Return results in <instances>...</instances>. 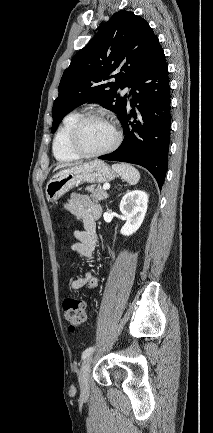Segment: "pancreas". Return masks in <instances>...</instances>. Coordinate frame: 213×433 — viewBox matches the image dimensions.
Here are the masks:
<instances>
[{
  "label": "pancreas",
  "mask_w": 213,
  "mask_h": 433,
  "mask_svg": "<svg viewBox=\"0 0 213 433\" xmlns=\"http://www.w3.org/2000/svg\"><path fill=\"white\" fill-rule=\"evenodd\" d=\"M86 190L90 192V197L96 202L102 201L107 197L106 191L102 186H87Z\"/></svg>",
  "instance_id": "obj_1"
}]
</instances>
